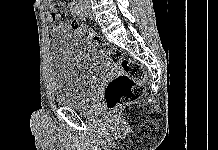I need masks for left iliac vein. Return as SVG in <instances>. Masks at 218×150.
I'll return each instance as SVG.
<instances>
[{
    "label": "left iliac vein",
    "mask_w": 218,
    "mask_h": 150,
    "mask_svg": "<svg viewBox=\"0 0 218 150\" xmlns=\"http://www.w3.org/2000/svg\"><path fill=\"white\" fill-rule=\"evenodd\" d=\"M87 16H88V17H90V16H91L90 12H87Z\"/></svg>",
    "instance_id": "1"
}]
</instances>
